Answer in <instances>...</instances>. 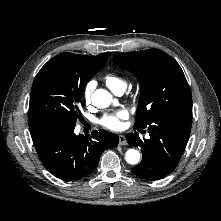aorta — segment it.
Wrapping results in <instances>:
<instances>
[{
    "mask_svg": "<svg viewBox=\"0 0 221 221\" xmlns=\"http://www.w3.org/2000/svg\"><path fill=\"white\" fill-rule=\"evenodd\" d=\"M91 100L92 104L97 108H106L112 103V95L107 90L97 89L93 92ZM125 160L131 165L137 164L140 160L139 151L135 149L127 150Z\"/></svg>",
    "mask_w": 221,
    "mask_h": 221,
    "instance_id": "1",
    "label": "aorta"
}]
</instances>
